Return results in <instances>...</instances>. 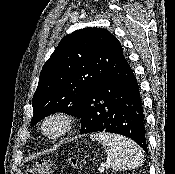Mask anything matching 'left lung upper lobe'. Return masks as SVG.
Listing matches in <instances>:
<instances>
[{
  "instance_id": "5c2ea615",
  "label": "left lung upper lobe",
  "mask_w": 175,
  "mask_h": 174,
  "mask_svg": "<svg viewBox=\"0 0 175 174\" xmlns=\"http://www.w3.org/2000/svg\"><path fill=\"white\" fill-rule=\"evenodd\" d=\"M123 55L108 30L84 28L64 37L44 64L32 99L31 126L55 112L78 117L83 98Z\"/></svg>"
}]
</instances>
